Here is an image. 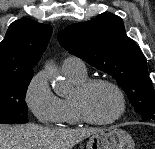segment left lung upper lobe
<instances>
[{"label": "left lung upper lobe", "mask_w": 155, "mask_h": 149, "mask_svg": "<svg viewBox=\"0 0 155 149\" xmlns=\"http://www.w3.org/2000/svg\"><path fill=\"white\" fill-rule=\"evenodd\" d=\"M58 41L69 53L114 77L141 118L155 119V91L146 58L126 33L123 21L113 14L67 26Z\"/></svg>", "instance_id": "5c2ea615"}]
</instances>
